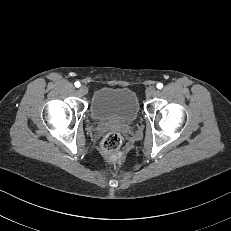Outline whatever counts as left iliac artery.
Segmentation results:
<instances>
[{"instance_id":"1","label":"left iliac artery","mask_w":231,"mask_h":231,"mask_svg":"<svg viewBox=\"0 0 231 231\" xmlns=\"http://www.w3.org/2000/svg\"><path fill=\"white\" fill-rule=\"evenodd\" d=\"M162 87H163V84H162V83H158V84H157V88H158V89H161Z\"/></svg>"}]
</instances>
